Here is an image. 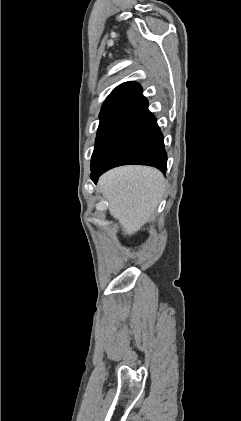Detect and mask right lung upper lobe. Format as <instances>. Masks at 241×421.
<instances>
[{
  "instance_id": "cb5924a9",
  "label": "right lung upper lobe",
  "mask_w": 241,
  "mask_h": 421,
  "mask_svg": "<svg viewBox=\"0 0 241 421\" xmlns=\"http://www.w3.org/2000/svg\"><path fill=\"white\" fill-rule=\"evenodd\" d=\"M142 96V88L138 83L125 82L117 86L105 100L102 110L123 106L133 105Z\"/></svg>"
}]
</instances>
